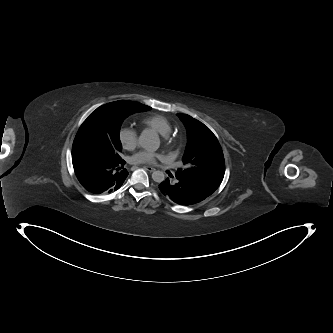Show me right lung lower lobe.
I'll list each match as a JSON object with an SVG mask.
<instances>
[{"label":"right lung lower lobe","instance_id":"obj_1","mask_svg":"<svg viewBox=\"0 0 333 333\" xmlns=\"http://www.w3.org/2000/svg\"><path fill=\"white\" fill-rule=\"evenodd\" d=\"M72 163L81 185L92 194H107L118 190L128 172L123 169L125 161H104L93 155H74Z\"/></svg>","mask_w":333,"mask_h":333}]
</instances>
